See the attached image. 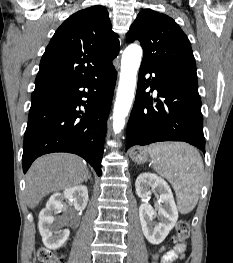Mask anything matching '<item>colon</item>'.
Wrapping results in <instances>:
<instances>
[{
  "instance_id": "1",
  "label": "colon",
  "mask_w": 233,
  "mask_h": 263,
  "mask_svg": "<svg viewBox=\"0 0 233 263\" xmlns=\"http://www.w3.org/2000/svg\"><path fill=\"white\" fill-rule=\"evenodd\" d=\"M190 234V227L187 221L181 220L176 226V234L173 236L172 241L174 243L185 241ZM161 248L157 253L152 255V263H157L159 259ZM37 258L40 263H62L61 258L48 248L41 247L37 251Z\"/></svg>"
}]
</instances>
